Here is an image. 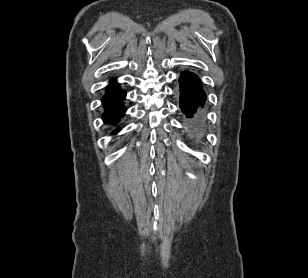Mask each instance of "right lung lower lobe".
Segmentation results:
<instances>
[{
    "label": "right lung lower lobe",
    "instance_id": "right-lung-lower-lobe-1",
    "mask_svg": "<svg viewBox=\"0 0 308 278\" xmlns=\"http://www.w3.org/2000/svg\"><path fill=\"white\" fill-rule=\"evenodd\" d=\"M125 96L126 93L120 89L119 84L112 80L102 98L105 108L102 118L105 122L115 123L125 113V108L121 104Z\"/></svg>",
    "mask_w": 308,
    "mask_h": 278
}]
</instances>
